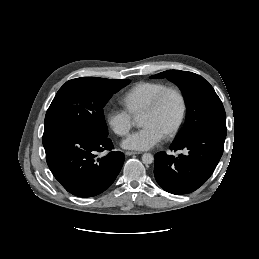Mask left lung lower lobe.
Listing matches in <instances>:
<instances>
[{"label":"left lung lower lobe","instance_id":"0a47b994","mask_svg":"<svg viewBox=\"0 0 259 259\" xmlns=\"http://www.w3.org/2000/svg\"><path fill=\"white\" fill-rule=\"evenodd\" d=\"M226 129L209 127L173 142L171 150H188L178 157L158 152L154 175L158 184L172 194H187L202 186L214 172L224 148Z\"/></svg>","mask_w":259,"mask_h":259}]
</instances>
